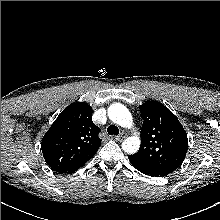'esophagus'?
<instances>
[{
    "label": "esophagus",
    "instance_id": "obj_1",
    "mask_svg": "<svg viewBox=\"0 0 220 220\" xmlns=\"http://www.w3.org/2000/svg\"><path fill=\"white\" fill-rule=\"evenodd\" d=\"M125 137H126V134L122 133L121 135L116 136L115 140L118 142H121Z\"/></svg>",
    "mask_w": 220,
    "mask_h": 220
}]
</instances>
